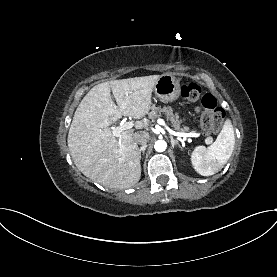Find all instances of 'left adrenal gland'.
<instances>
[{
  "label": "left adrenal gland",
  "mask_w": 277,
  "mask_h": 277,
  "mask_svg": "<svg viewBox=\"0 0 277 277\" xmlns=\"http://www.w3.org/2000/svg\"><path fill=\"white\" fill-rule=\"evenodd\" d=\"M170 139H171L172 148H174L175 146H178L181 150H183V148L180 146L177 140H175L172 136H170Z\"/></svg>",
  "instance_id": "a2214340"
}]
</instances>
